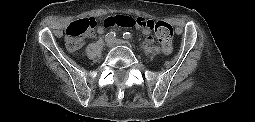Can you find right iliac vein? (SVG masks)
I'll return each instance as SVG.
<instances>
[{
    "label": "right iliac vein",
    "instance_id": "1",
    "mask_svg": "<svg viewBox=\"0 0 255 122\" xmlns=\"http://www.w3.org/2000/svg\"><path fill=\"white\" fill-rule=\"evenodd\" d=\"M112 46H113V42H112V41L107 42V47H108V48H111Z\"/></svg>",
    "mask_w": 255,
    "mask_h": 122
}]
</instances>
